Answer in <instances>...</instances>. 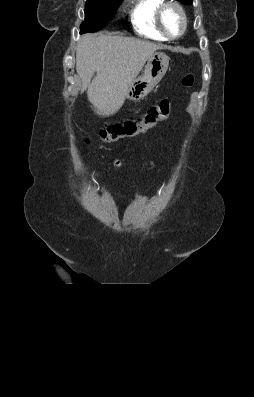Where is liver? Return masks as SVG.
I'll use <instances>...</instances> for the list:
<instances>
[{"mask_svg":"<svg viewBox=\"0 0 254 397\" xmlns=\"http://www.w3.org/2000/svg\"><path fill=\"white\" fill-rule=\"evenodd\" d=\"M158 49L161 47L155 43L133 37H81L76 48V71L81 78V91L87 90L97 115L108 117L122 107L128 87Z\"/></svg>","mask_w":254,"mask_h":397,"instance_id":"obj_1","label":"liver"}]
</instances>
